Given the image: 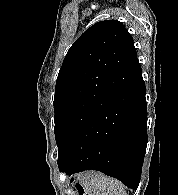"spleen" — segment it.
Listing matches in <instances>:
<instances>
[{"instance_id":"obj_1","label":"spleen","mask_w":178,"mask_h":195,"mask_svg":"<svg viewBox=\"0 0 178 195\" xmlns=\"http://www.w3.org/2000/svg\"><path fill=\"white\" fill-rule=\"evenodd\" d=\"M80 182L89 195H127L121 182L99 172L84 175Z\"/></svg>"}]
</instances>
